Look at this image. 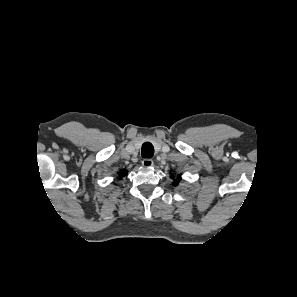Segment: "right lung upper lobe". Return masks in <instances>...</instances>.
<instances>
[{"label": "right lung upper lobe", "instance_id": "right-lung-upper-lobe-1", "mask_svg": "<svg viewBox=\"0 0 297 297\" xmlns=\"http://www.w3.org/2000/svg\"><path fill=\"white\" fill-rule=\"evenodd\" d=\"M123 174H124V175L127 174V171H126V170H122V171L119 172V175H120V176L123 175Z\"/></svg>", "mask_w": 297, "mask_h": 297}]
</instances>
